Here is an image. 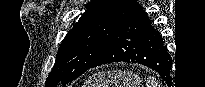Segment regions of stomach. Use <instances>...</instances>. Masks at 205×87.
Segmentation results:
<instances>
[{"label":"stomach","mask_w":205,"mask_h":87,"mask_svg":"<svg viewBox=\"0 0 205 87\" xmlns=\"http://www.w3.org/2000/svg\"><path fill=\"white\" fill-rule=\"evenodd\" d=\"M140 77L131 71L100 72L91 76L85 87H140Z\"/></svg>","instance_id":"stomach-1"}]
</instances>
